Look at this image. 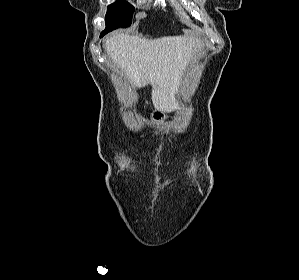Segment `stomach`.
Returning <instances> with one entry per match:
<instances>
[{"mask_svg": "<svg viewBox=\"0 0 299 280\" xmlns=\"http://www.w3.org/2000/svg\"><path fill=\"white\" fill-rule=\"evenodd\" d=\"M165 113L160 110H155L151 115V120L155 124H159L164 121Z\"/></svg>", "mask_w": 299, "mask_h": 280, "instance_id": "obj_1", "label": "stomach"}]
</instances>
